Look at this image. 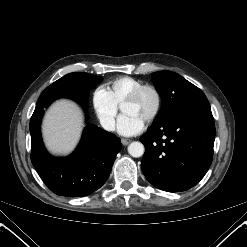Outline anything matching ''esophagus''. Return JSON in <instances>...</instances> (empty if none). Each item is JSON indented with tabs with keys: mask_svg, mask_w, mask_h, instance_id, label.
Returning <instances> with one entry per match:
<instances>
[{
	"mask_svg": "<svg viewBox=\"0 0 247 247\" xmlns=\"http://www.w3.org/2000/svg\"><path fill=\"white\" fill-rule=\"evenodd\" d=\"M121 142H122L123 145H128L131 142V140L123 138V139H121Z\"/></svg>",
	"mask_w": 247,
	"mask_h": 247,
	"instance_id": "1",
	"label": "esophagus"
}]
</instances>
